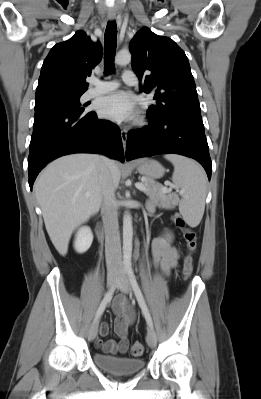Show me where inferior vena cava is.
Here are the masks:
<instances>
[{
	"mask_svg": "<svg viewBox=\"0 0 261 399\" xmlns=\"http://www.w3.org/2000/svg\"><path fill=\"white\" fill-rule=\"evenodd\" d=\"M107 166L110 160L104 157ZM103 224L105 229V257L108 272H120L122 268L121 242L119 234L117 201L115 187L108 168H106L101 187Z\"/></svg>",
	"mask_w": 261,
	"mask_h": 399,
	"instance_id": "1",
	"label": "inferior vena cava"
}]
</instances>
